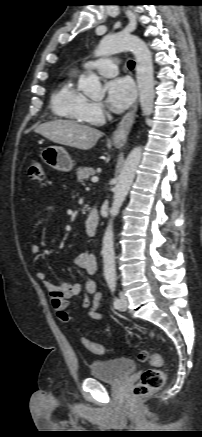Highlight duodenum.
<instances>
[{"instance_id": "410a0bca", "label": "duodenum", "mask_w": 202, "mask_h": 437, "mask_svg": "<svg viewBox=\"0 0 202 437\" xmlns=\"http://www.w3.org/2000/svg\"><path fill=\"white\" fill-rule=\"evenodd\" d=\"M99 212L95 206H91L85 223L86 233L95 236L99 225Z\"/></svg>"}]
</instances>
